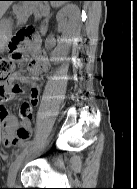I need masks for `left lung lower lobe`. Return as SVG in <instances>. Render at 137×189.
<instances>
[{
	"mask_svg": "<svg viewBox=\"0 0 137 189\" xmlns=\"http://www.w3.org/2000/svg\"><path fill=\"white\" fill-rule=\"evenodd\" d=\"M69 1H83V0H69Z\"/></svg>",
	"mask_w": 137,
	"mask_h": 189,
	"instance_id": "0a47b994",
	"label": "left lung lower lobe"
}]
</instances>
